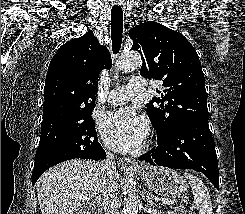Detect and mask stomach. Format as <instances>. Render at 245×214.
Instances as JSON below:
<instances>
[{
    "mask_svg": "<svg viewBox=\"0 0 245 214\" xmlns=\"http://www.w3.org/2000/svg\"><path fill=\"white\" fill-rule=\"evenodd\" d=\"M141 180L151 191L165 197H179L188 187L184 177L169 168H146L141 171Z\"/></svg>",
    "mask_w": 245,
    "mask_h": 214,
    "instance_id": "obj_1",
    "label": "stomach"
}]
</instances>
